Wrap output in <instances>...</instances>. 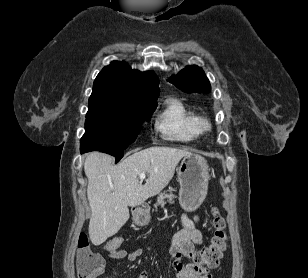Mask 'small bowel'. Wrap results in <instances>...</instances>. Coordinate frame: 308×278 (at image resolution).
<instances>
[{
    "instance_id": "c3829d8e",
    "label": "small bowel",
    "mask_w": 308,
    "mask_h": 278,
    "mask_svg": "<svg viewBox=\"0 0 308 278\" xmlns=\"http://www.w3.org/2000/svg\"><path fill=\"white\" fill-rule=\"evenodd\" d=\"M199 221L197 215L190 216L187 213H183L181 216V223L183 228L174 236L172 242L168 246V250L172 258L174 259V278H212L209 269L200 267L196 263H183V258L187 257L192 259L196 246L201 245L203 242L202 233L196 227ZM144 250L137 248L133 250L121 249L109 250L106 255L115 259H127L130 262L136 261L143 256ZM104 261V258H103ZM104 271L101 272V274ZM136 278H148L147 272H140Z\"/></svg>"
}]
</instances>
